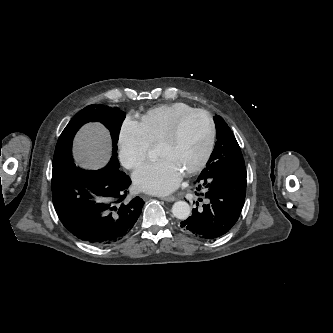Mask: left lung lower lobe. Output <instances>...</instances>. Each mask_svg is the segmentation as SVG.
Instances as JSON below:
<instances>
[{
  "label": "left lung lower lobe",
  "instance_id": "1",
  "mask_svg": "<svg viewBox=\"0 0 333 333\" xmlns=\"http://www.w3.org/2000/svg\"><path fill=\"white\" fill-rule=\"evenodd\" d=\"M246 170L223 173L218 169L202 171L196 180L200 198L192 216L181 227L202 239H215L227 233L237 222L245 201ZM203 198V199H202ZM203 205H199V201Z\"/></svg>",
  "mask_w": 333,
  "mask_h": 333
}]
</instances>
